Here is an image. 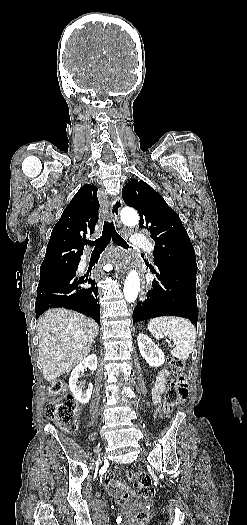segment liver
Here are the masks:
<instances>
[{
  "mask_svg": "<svg viewBox=\"0 0 247 525\" xmlns=\"http://www.w3.org/2000/svg\"><path fill=\"white\" fill-rule=\"evenodd\" d=\"M37 331L43 377L54 381L86 359L99 327L76 311L48 309L39 317Z\"/></svg>",
  "mask_w": 247,
  "mask_h": 525,
  "instance_id": "1",
  "label": "liver"
}]
</instances>
